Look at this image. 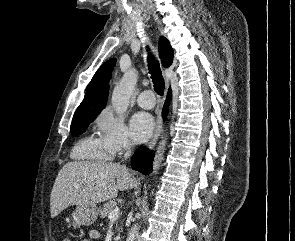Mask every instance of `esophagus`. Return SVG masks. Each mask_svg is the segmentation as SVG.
<instances>
[{
	"mask_svg": "<svg viewBox=\"0 0 295 241\" xmlns=\"http://www.w3.org/2000/svg\"><path fill=\"white\" fill-rule=\"evenodd\" d=\"M166 86L168 89V80H166ZM161 130H162V117H161V113H159L157 116V120H156V128H155L154 134H153L151 140L147 144V147L149 149H151L155 146V144L160 136Z\"/></svg>",
	"mask_w": 295,
	"mask_h": 241,
	"instance_id": "obj_1",
	"label": "esophagus"
}]
</instances>
